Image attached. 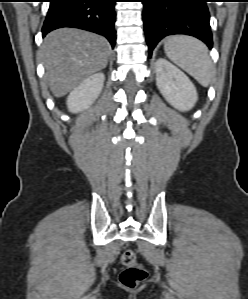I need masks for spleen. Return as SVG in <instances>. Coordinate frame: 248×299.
I'll list each match as a JSON object with an SVG mask.
<instances>
[{"instance_id":"spleen-1","label":"spleen","mask_w":248,"mask_h":299,"mask_svg":"<svg viewBox=\"0 0 248 299\" xmlns=\"http://www.w3.org/2000/svg\"><path fill=\"white\" fill-rule=\"evenodd\" d=\"M167 57L202 86L207 87L213 75V66L208 48L200 40L185 36H169L164 41Z\"/></svg>"}]
</instances>
